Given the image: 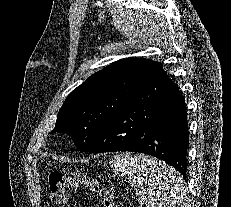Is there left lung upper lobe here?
<instances>
[{"label": "left lung upper lobe", "mask_w": 231, "mask_h": 207, "mask_svg": "<svg viewBox=\"0 0 231 207\" xmlns=\"http://www.w3.org/2000/svg\"><path fill=\"white\" fill-rule=\"evenodd\" d=\"M156 64L126 58L91 75L68 95L51 133H67L78 150L85 151L113 116L143 89Z\"/></svg>", "instance_id": "left-lung-upper-lobe-1"}]
</instances>
